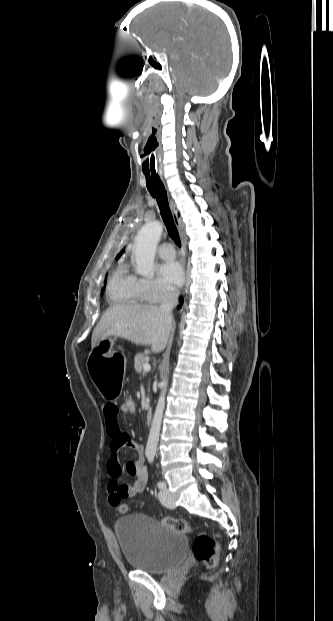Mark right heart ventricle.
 <instances>
[{
    "instance_id": "obj_1",
    "label": "right heart ventricle",
    "mask_w": 333,
    "mask_h": 621,
    "mask_svg": "<svg viewBox=\"0 0 333 621\" xmlns=\"http://www.w3.org/2000/svg\"><path fill=\"white\" fill-rule=\"evenodd\" d=\"M107 296L113 303L139 304L146 301L139 288L138 279L130 273L125 263H120L112 273Z\"/></svg>"
}]
</instances>
